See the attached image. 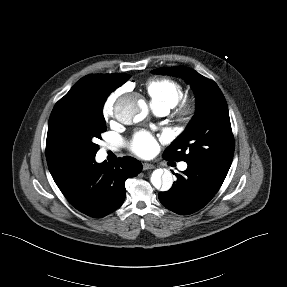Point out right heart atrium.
<instances>
[{"mask_svg":"<svg viewBox=\"0 0 287 287\" xmlns=\"http://www.w3.org/2000/svg\"><path fill=\"white\" fill-rule=\"evenodd\" d=\"M118 96L119 92H114L105 100L102 107V114L105 120H109L113 117Z\"/></svg>","mask_w":287,"mask_h":287,"instance_id":"d8ad5b80","label":"right heart atrium"}]
</instances>
